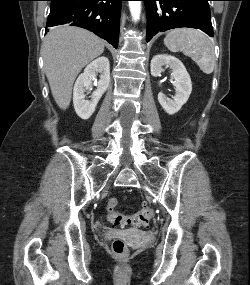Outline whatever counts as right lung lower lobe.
Instances as JSON below:
<instances>
[{"label":"right lung lower lobe","instance_id":"98d812e1","mask_svg":"<svg viewBox=\"0 0 250 285\" xmlns=\"http://www.w3.org/2000/svg\"><path fill=\"white\" fill-rule=\"evenodd\" d=\"M48 27L70 23L93 31L117 48L124 0H50Z\"/></svg>","mask_w":250,"mask_h":285}]
</instances>
